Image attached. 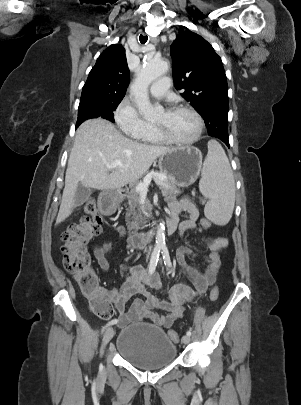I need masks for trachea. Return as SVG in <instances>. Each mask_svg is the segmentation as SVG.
I'll return each mask as SVG.
<instances>
[{
  "mask_svg": "<svg viewBox=\"0 0 301 405\" xmlns=\"http://www.w3.org/2000/svg\"><path fill=\"white\" fill-rule=\"evenodd\" d=\"M139 40L142 44L146 43L148 40V36L140 35Z\"/></svg>",
  "mask_w": 301,
  "mask_h": 405,
  "instance_id": "obj_1",
  "label": "trachea"
}]
</instances>
